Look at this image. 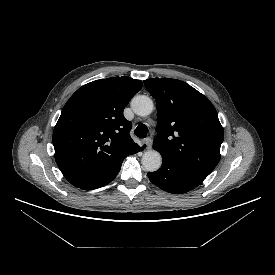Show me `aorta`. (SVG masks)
Returning a JSON list of instances; mask_svg holds the SVG:
<instances>
[{"label":"aorta","mask_w":275,"mask_h":275,"mask_svg":"<svg viewBox=\"0 0 275 275\" xmlns=\"http://www.w3.org/2000/svg\"><path fill=\"white\" fill-rule=\"evenodd\" d=\"M131 107L135 114L139 116H147L151 114L154 108L151 98L145 95H138L132 99ZM162 164V157L158 151L149 150L142 156V165L149 171H157Z\"/></svg>","instance_id":"1"}]
</instances>
